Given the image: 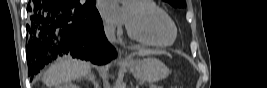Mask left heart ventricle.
<instances>
[{
    "instance_id": "1",
    "label": "left heart ventricle",
    "mask_w": 267,
    "mask_h": 88,
    "mask_svg": "<svg viewBox=\"0 0 267 88\" xmlns=\"http://www.w3.org/2000/svg\"><path fill=\"white\" fill-rule=\"evenodd\" d=\"M128 26L135 32L156 41L170 42L174 37V28L168 18L146 6L129 3Z\"/></svg>"
}]
</instances>
